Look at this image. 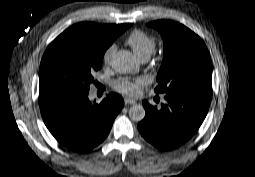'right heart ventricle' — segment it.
Instances as JSON below:
<instances>
[{
    "instance_id": "obj_1",
    "label": "right heart ventricle",
    "mask_w": 255,
    "mask_h": 177,
    "mask_svg": "<svg viewBox=\"0 0 255 177\" xmlns=\"http://www.w3.org/2000/svg\"><path fill=\"white\" fill-rule=\"evenodd\" d=\"M133 53L139 60L149 59L156 48L155 39L141 30L132 32L126 40Z\"/></svg>"
}]
</instances>
